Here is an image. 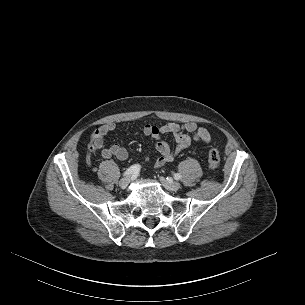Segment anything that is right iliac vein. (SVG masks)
<instances>
[{
    "label": "right iliac vein",
    "mask_w": 305,
    "mask_h": 305,
    "mask_svg": "<svg viewBox=\"0 0 305 305\" xmlns=\"http://www.w3.org/2000/svg\"><path fill=\"white\" fill-rule=\"evenodd\" d=\"M129 182H130V178L129 177L122 178L119 181V187L124 190V189H126L128 187Z\"/></svg>",
    "instance_id": "1"
}]
</instances>
